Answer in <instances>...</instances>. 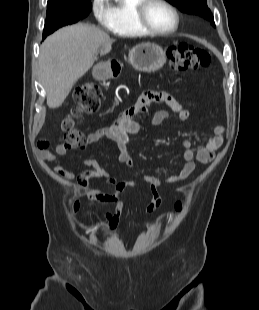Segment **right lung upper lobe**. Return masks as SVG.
I'll return each mask as SVG.
<instances>
[{"mask_svg":"<svg viewBox=\"0 0 259 310\" xmlns=\"http://www.w3.org/2000/svg\"><path fill=\"white\" fill-rule=\"evenodd\" d=\"M90 0H48L47 6L52 5H59V4H65V3H79V2H86Z\"/></svg>","mask_w":259,"mask_h":310,"instance_id":"1","label":"right lung upper lobe"}]
</instances>
